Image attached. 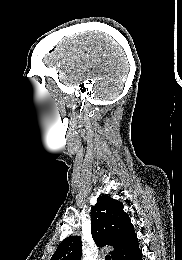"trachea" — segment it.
Returning a JSON list of instances; mask_svg holds the SVG:
<instances>
[{
  "label": "trachea",
  "instance_id": "1",
  "mask_svg": "<svg viewBox=\"0 0 182 260\" xmlns=\"http://www.w3.org/2000/svg\"><path fill=\"white\" fill-rule=\"evenodd\" d=\"M105 260H111L110 255H106Z\"/></svg>",
  "mask_w": 182,
  "mask_h": 260
}]
</instances>
